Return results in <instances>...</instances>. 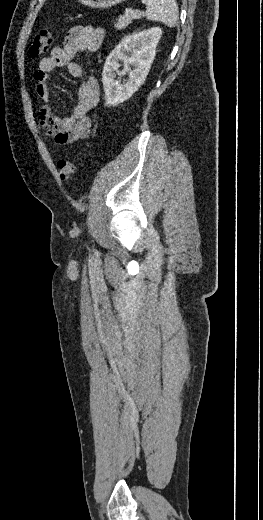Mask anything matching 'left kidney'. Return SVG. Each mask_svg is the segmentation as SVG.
<instances>
[{
    "mask_svg": "<svg viewBox=\"0 0 263 520\" xmlns=\"http://www.w3.org/2000/svg\"><path fill=\"white\" fill-rule=\"evenodd\" d=\"M161 35L162 30L158 27L132 33L122 39L109 54L102 73L107 106L114 107L129 99L143 84L154 60ZM119 61L124 62V69L119 75H129L123 84L116 80Z\"/></svg>",
    "mask_w": 263,
    "mask_h": 520,
    "instance_id": "1",
    "label": "left kidney"
}]
</instances>
